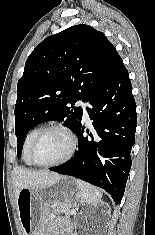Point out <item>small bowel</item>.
<instances>
[{
    "instance_id": "c3829d8e",
    "label": "small bowel",
    "mask_w": 155,
    "mask_h": 235,
    "mask_svg": "<svg viewBox=\"0 0 155 235\" xmlns=\"http://www.w3.org/2000/svg\"><path fill=\"white\" fill-rule=\"evenodd\" d=\"M47 235H69L68 229L63 228L60 231L55 229L52 226H49L47 229Z\"/></svg>"
}]
</instances>
